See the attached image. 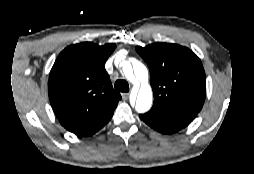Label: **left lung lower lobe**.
I'll return each instance as SVG.
<instances>
[{
  "mask_svg": "<svg viewBox=\"0 0 254 174\" xmlns=\"http://www.w3.org/2000/svg\"><path fill=\"white\" fill-rule=\"evenodd\" d=\"M140 118L154 130L163 134H173L188 126L195 117L185 114L172 113L157 107H152Z\"/></svg>",
  "mask_w": 254,
  "mask_h": 174,
  "instance_id": "1",
  "label": "left lung lower lobe"
}]
</instances>
